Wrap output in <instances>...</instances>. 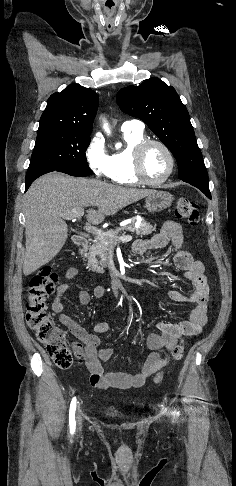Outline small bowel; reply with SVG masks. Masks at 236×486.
<instances>
[{
  "instance_id": "small-bowel-1",
  "label": "small bowel",
  "mask_w": 236,
  "mask_h": 486,
  "mask_svg": "<svg viewBox=\"0 0 236 486\" xmlns=\"http://www.w3.org/2000/svg\"><path fill=\"white\" fill-rule=\"evenodd\" d=\"M183 233L179 223L166 221L160 231L149 239L137 240L133 244V250L137 254H143L151 249H158L172 244L177 252L174 256L176 267L183 271L184 277L193 284V292L187 296L178 290H171L168 296L175 302H190L194 305L188 319L172 323L160 322L157 326L158 332L152 333L147 338V346L150 354L134 373L120 371H104L103 362L113 355L112 348L99 349L101 339L99 334L110 330V322L96 323L92 331L86 330L70 316L64 313L65 303L63 297L70 290L69 281L73 279L78 271L69 268L62 278L55 298L52 302V310L57 314L59 321L80 341L73 343L74 354L79 363H85L90 373V383L99 389H129L141 387L146 379L169 363V353L181 336H193L201 332L207 321L208 300L210 296L209 286L204 274V265L201 261L195 260L192 255L183 250ZM106 293L104 287H97L92 294L101 297ZM91 299L88 290L83 289L79 293L81 306H86Z\"/></svg>"
}]
</instances>
